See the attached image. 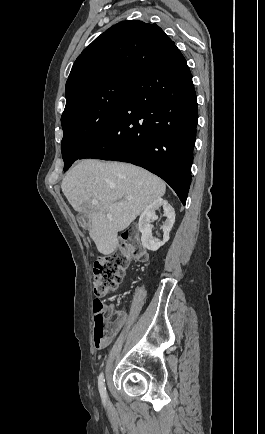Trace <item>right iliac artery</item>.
<instances>
[{
    "label": "right iliac artery",
    "mask_w": 265,
    "mask_h": 434,
    "mask_svg": "<svg viewBox=\"0 0 265 434\" xmlns=\"http://www.w3.org/2000/svg\"><path fill=\"white\" fill-rule=\"evenodd\" d=\"M98 387L102 400L105 402L107 400V392L105 387V379L103 373L99 375L98 378Z\"/></svg>",
    "instance_id": "1"
}]
</instances>
